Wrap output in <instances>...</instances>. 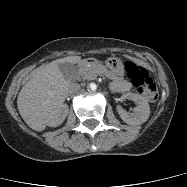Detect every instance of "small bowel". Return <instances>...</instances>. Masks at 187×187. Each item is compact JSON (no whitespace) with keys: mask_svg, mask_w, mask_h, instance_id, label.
<instances>
[{"mask_svg":"<svg viewBox=\"0 0 187 187\" xmlns=\"http://www.w3.org/2000/svg\"><path fill=\"white\" fill-rule=\"evenodd\" d=\"M113 89L116 91H127L131 88V84L125 80H117L112 85Z\"/></svg>","mask_w":187,"mask_h":187,"instance_id":"c3829d8e","label":"small bowel"}]
</instances>
